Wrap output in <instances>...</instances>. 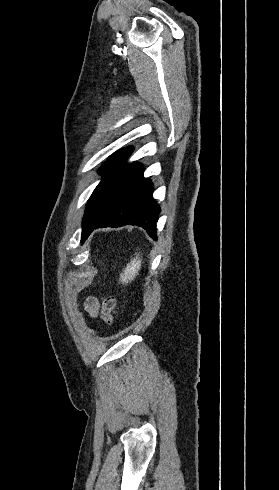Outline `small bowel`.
Returning <instances> with one entry per match:
<instances>
[{
	"mask_svg": "<svg viewBox=\"0 0 279 490\" xmlns=\"http://www.w3.org/2000/svg\"><path fill=\"white\" fill-rule=\"evenodd\" d=\"M84 309L90 317H95L99 311V304L97 299L89 297L85 300Z\"/></svg>",
	"mask_w": 279,
	"mask_h": 490,
	"instance_id": "obj_1",
	"label": "small bowel"
}]
</instances>
